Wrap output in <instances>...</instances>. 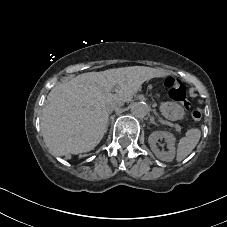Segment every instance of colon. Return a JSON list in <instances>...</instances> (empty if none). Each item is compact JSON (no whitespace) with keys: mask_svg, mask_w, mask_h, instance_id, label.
<instances>
[{"mask_svg":"<svg viewBox=\"0 0 227 227\" xmlns=\"http://www.w3.org/2000/svg\"><path fill=\"white\" fill-rule=\"evenodd\" d=\"M163 82L164 85L169 88L172 99L182 103L184 108L188 109L189 102L187 101L188 92L186 86L179 79L172 77L164 78ZM190 115L194 121H200L202 119V112L199 109H193Z\"/></svg>","mask_w":227,"mask_h":227,"instance_id":"obj_1","label":"colon"}]
</instances>
